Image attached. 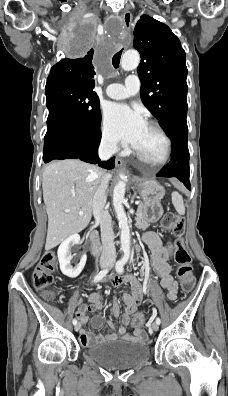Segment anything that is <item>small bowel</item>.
<instances>
[{
	"mask_svg": "<svg viewBox=\"0 0 228 396\" xmlns=\"http://www.w3.org/2000/svg\"><path fill=\"white\" fill-rule=\"evenodd\" d=\"M142 241L149 247L151 251V264L154 270L157 272L160 278V285L166 290V296L169 300H175L177 298L178 284L172 276V269L168 263L169 254L167 249L162 245L160 238L153 232L144 234ZM106 282L112 286L119 287L125 283H130L131 293H123L122 299L125 303L126 309L125 314L122 317V326L119 327L118 331L115 329L111 322H107L111 328L112 333L108 335H92L91 333L81 329L79 332V340L82 346L90 347L106 340L112 339H126L145 342L148 339L147 333L143 328L134 327V333L132 335L127 333V327L131 324L134 312L137 306L143 301L142 286L139 281L133 275H126L123 277H110ZM103 307L102 295L98 292L91 293L89 295V304H83L77 311V316L82 325L88 322V313L101 310ZM112 313L114 317L120 316V307L116 300L112 302ZM91 325L93 328H100L104 319L101 315H95L91 318Z\"/></svg>",
	"mask_w": 228,
	"mask_h": 396,
	"instance_id": "obj_1",
	"label": "small bowel"
}]
</instances>
